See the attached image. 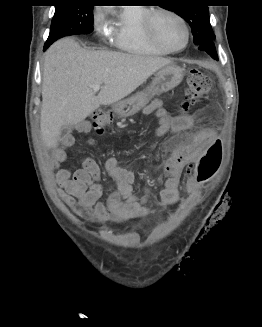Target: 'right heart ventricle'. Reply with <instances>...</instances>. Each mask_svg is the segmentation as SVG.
<instances>
[{
  "label": "right heart ventricle",
  "instance_id": "1",
  "mask_svg": "<svg viewBox=\"0 0 262 327\" xmlns=\"http://www.w3.org/2000/svg\"><path fill=\"white\" fill-rule=\"evenodd\" d=\"M148 11L145 7H123L110 25L112 44L132 54L166 55L168 52L153 44L143 29V18Z\"/></svg>",
  "mask_w": 262,
  "mask_h": 327
}]
</instances>
